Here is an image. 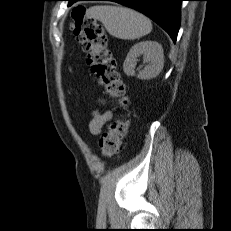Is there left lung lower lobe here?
<instances>
[{
	"instance_id": "left-lung-lower-lobe-1",
	"label": "left lung lower lobe",
	"mask_w": 231,
	"mask_h": 231,
	"mask_svg": "<svg viewBox=\"0 0 231 231\" xmlns=\"http://www.w3.org/2000/svg\"><path fill=\"white\" fill-rule=\"evenodd\" d=\"M69 6L77 1H114L136 9L159 24L175 42L180 26V8L183 0H66Z\"/></svg>"
}]
</instances>
